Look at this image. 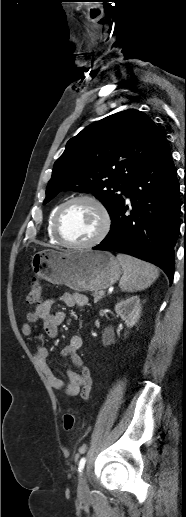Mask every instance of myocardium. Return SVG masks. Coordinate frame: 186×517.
I'll use <instances>...</instances> for the list:
<instances>
[{
    "label": "myocardium",
    "mask_w": 186,
    "mask_h": 517,
    "mask_svg": "<svg viewBox=\"0 0 186 517\" xmlns=\"http://www.w3.org/2000/svg\"><path fill=\"white\" fill-rule=\"evenodd\" d=\"M85 201L91 203L99 212L101 218V225L98 233L89 241L83 243H73L66 240L60 230V222L64 211L73 203ZM111 229V216L104 205V203L99 200L97 197L89 194H81L70 198L69 200L62 203L57 209L55 216L53 218V232L56 239L60 242V244L74 249H87L92 248L99 243H101L106 236L108 235Z\"/></svg>",
    "instance_id": "f54148a6"
}]
</instances>
